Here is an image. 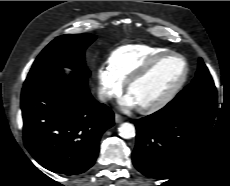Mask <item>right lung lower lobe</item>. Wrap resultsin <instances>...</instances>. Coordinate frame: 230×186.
<instances>
[{
    "label": "right lung lower lobe",
    "mask_w": 230,
    "mask_h": 186,
    "mask_svg": "<svg viewBox=\"0 0 230 186\" xmlns=\"http://www.w3.org/2000/svg\"><path fill=\"white\" fill-rule=\"evenodd\" d=\"M88 77L62 69L27 77L21 94L24 144L44 168L66 175L89 169L101 135L114 124L110 108L87 89Z\"/></svg>",
    "instance_id": "1"
}]
</instances>
